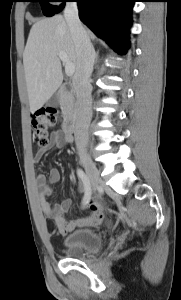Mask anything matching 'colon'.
<instances>
[{"mask_svg": "<svg viewBox=\"0 0 181 300\" xmlns=\"http://www.w3.org/2000/svg\"><path fill=\"white\" fill-rule=\"evenodd\" d=\"M59 121L58 113L53 108H46L36 111L31 118V125L35 142L44 146L48 142L49 130ZM91 213L103 215L104 205L100 202L91 201Z\"/></svg>", "mask_w": 181, "mask_h": 300, "instance_id": "colon-1", "label": "colon"}]
</instances>
